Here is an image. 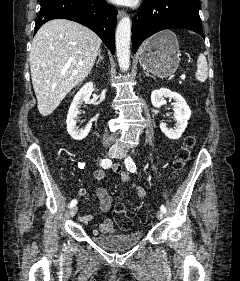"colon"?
Here are the masks:
<instances>
[{
	"label": "colon",
	"instance_id": "1",
	"mask_svg": "<svg viewBox=\"0 0 240 281\" xmlns=\"http://www.w3.org/2000/svg\"><path fill=\"white\" fill-rule=\"evenodd\" d=\"M196 138L194 136H188L185 139L184 145L179 149L177 158L175 161V173H178L189 160L191 151L195 146ZM114 219L121 230H129L132 227V221L126 213V210L122 204H117L113 213Z\"/></svg>",
	"mask_w": 240,
	"mask_h": 281
}]
</instances>
